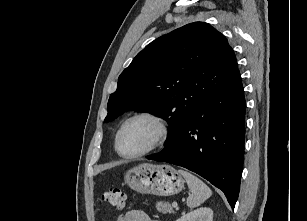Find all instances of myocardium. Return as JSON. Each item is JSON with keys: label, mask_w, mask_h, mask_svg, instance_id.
<instances>
[{"label": "myocardium", "mask_w": 307, "mask_h": 221, "mask_svg": "<svg viewBox=\"0 0 307 221\" xmlns=\"http://www.w3.org/2000/svg\"><path fill=\"white\" fill-rule=\"evenodd\" d=\"M138 119H147V120L151 121L156 127V130H157L156 136L153 139L150 146L148 148H146L145 150H143L139 153L125 154L120 150V146H119L120 137H121L125 127L130 122L138 120ZM168 136H169V128H168V125H167L164 118H162L161 116H159L158 114L153 113V112H139V113H136V114L130 116L129 118H127L122 123L120 128L118 129L116 137H115V149L118 152V154L120 156H122L123 158H126V159L139 158V157L148 155L149 153L153 152L154 150L159 148L161 145H163L166 142Z\"/></svg>", "instance_id": "myocardium-1"}]
</instances>
